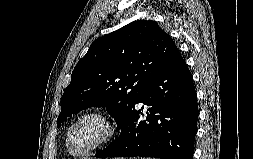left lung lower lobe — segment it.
Listing matches in <instances>:
<instances>
[{
    "instance_id": "1",
    "label": "left lung lower lobe",
    "mask_w": 253,
    "mask_h": 159,
    "mask_svg": "<svg viewBox=\"0 0 253 159\" xmlns=\"http://www.w3.org/2000/svg\"><path fill=\"white\" fill-rule=\"evenodd\" d=\"M149 106L141 119L143 107ZM193 77L179 52L145 87L120 136L97 157L193 159L198 119Z\"/></svg>"
}]
</instances>
